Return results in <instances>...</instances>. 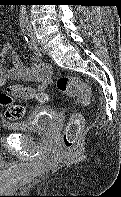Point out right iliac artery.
Masks as SVG:
<instances>
[{"instance_id": "82829eb1", "label": "right iliac artery", "mask_w": 121, "mask_h": 197, "mask_svg": "<svg viewBox=\"0 0 121 197\" xmlns=\"http://www.w3.org/2000/svg\"><path fill=\"white\" fill-rule=\"evenodd\" d=\"M20 25H21V29H22V32L24 34V37H25L26 41L30 45H33V43H32V37H31V34H30V28H29L28 22L25 21V20H23V21H21Z\"/></svg>"}]
</instances>
